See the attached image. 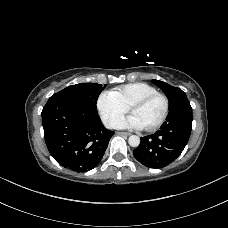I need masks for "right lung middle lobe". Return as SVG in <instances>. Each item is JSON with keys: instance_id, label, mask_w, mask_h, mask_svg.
Returning <instances> with one entry per match:
<instances>
[{"instance_id": "obj_1", "label": "right lung middle lobe", "mask_w": 228, "mask_h": 228, "mask_svg": "<svg viewBox=\"0 0 228 228\" xmlns=\"http://www.w3.org/2000/svg\"><path fill=\"white\" fill-rule=\"evenodd\" d=\"M104 88L105 86L103 87L101 84L80 83L71 85L60 92L53 94L50 98H66L75 100L97 109V99Z\"/></svg>"}]
</instances>
